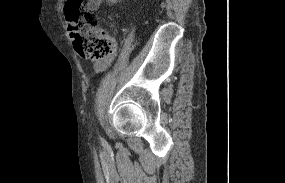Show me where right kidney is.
Masks as SVG:
<instances>
[{
	"label": "right kidney",
	"mask_w": 285,
	"mask_h": 183,
	"mask_svg": "<svg viewBox=\"0 0 285 183\" xmlns=\"http://www.w3.org/2000/svg\"><path fill=\"white\" fill-rule=\"evenodd\" d=\"M110 3H116L118 0H107Z\"/></svg>",
	"instance_id": "obj_1"
}]
</instances>
